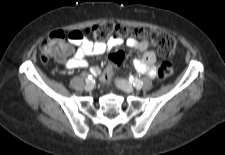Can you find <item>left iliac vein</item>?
<instances>
[{"mask_svg":"<svg viewBox=\"0 0 225 155\" xmlns=\"http://www.w3.org/2000/svg\"><path fill=\"white\" fill-rule=\"evenodd\" d=\"M117 85L127 93H133L135 91L131 83L124 79H116Z\"/></svg>","mask_w":225,"mask_h":155,"instance_id":"obj_1","label":"left iliac vein"}]
</instances>
